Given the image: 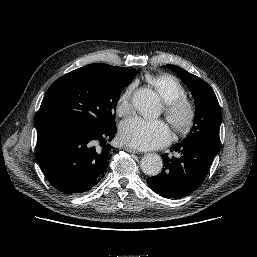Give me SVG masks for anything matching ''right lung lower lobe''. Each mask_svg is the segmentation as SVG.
Returning a JSON list of instances; mask_svg holds the SVG:
<instances>
[{
  "instance_id": "right-lung-lower-lobe-1",
  "label": "right lung lower lobe",
  "mask_w": 257,
  "mask_h": 257,
  "mask_svg": "<svg viewBox=\"0 0 257 257\" xmlns=\"http://www.w3.org/2000/svg\"><path fill=\"white\" fill-rule=\"evenodd\" d=\"M37 133V161L57 190L84 193L105 176L113 151L106 143L114 138L116 125L99 130L74 121H55L39 126Z\"/></svg>"
}]
</instances>
